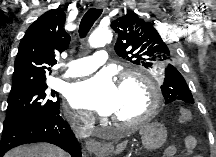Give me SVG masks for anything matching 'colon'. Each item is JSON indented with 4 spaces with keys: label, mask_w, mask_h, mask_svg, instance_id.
<instances>
[{
    "label": "colon",
    "mask_w": 216,
    "mask_h": 157,
    "mask_svg": "<svg viewBox=\"0 0 216 157\" xmlns=\"http://www.w3.org/2000/svg\"><path fill=\"white\" fill-rule=\"evenodd\" d=\"M191 112L186 108H181L178 112V122L186 123L191 120Z\"/></svg>",
    "instance_id": "colon-1"
}]
</instances>
